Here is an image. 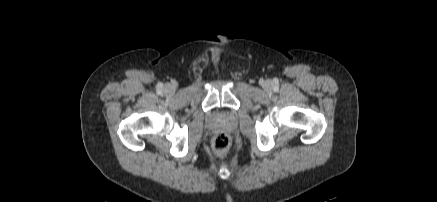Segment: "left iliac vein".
<instances>
[{
	"label": "left iliac vein",
	"instance_id": "4c4485c4",
	"mask_svg": "<svg viewBox=\"0 0 437 202\" xmlns=\"http://www.w3.org/2000/svg\"><path fill=\"white\" fill-rule=\"evenodd\" d=\"M263 86H264V88L269 89L271 84L269 81H266Z\"/></svg>",
	"mask_w": 437,
	"mask_h": 202
}]
</instances>
